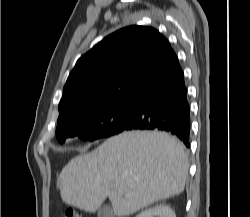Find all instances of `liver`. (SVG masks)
Masks as SVG:
<instances>
[{
    "mask_svg": "<svg viewBox=\"0 0 250 217\" xmlns=\"http://www.w3.org/2000/svg\"><path fill=\"white\" fill-rule=\"evenodd\" d=\"M189 162L184 145L165 132H123L62 169L65 204L96 212L109 197L115 215L129 216L183 192Z\"/></svg>",
    "mask_w": 250,
    "mask_h": 217,
    "instance_id": "1",
    "label": "liver"
}]
</instances>
